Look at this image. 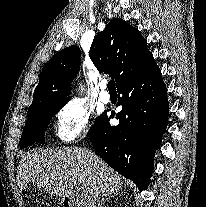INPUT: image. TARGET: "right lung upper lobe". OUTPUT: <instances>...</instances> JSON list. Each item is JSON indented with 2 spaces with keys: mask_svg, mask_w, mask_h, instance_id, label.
<instances>
[{
  "mask_svg": "<svg viewBox=\"0 0 206 207\" xmlns=\"http://www.w3.org/2000/svg\"><path fill=\"white\" fill-rule=\"evenodd\" d=\"M141 33L126 21L113 19L92 42L89 56L99 72L109 73L116 86L136 73L151 57ZM80 66V49L67 47L44 66L28 112L46 105L67 102L70 85Z\"/></svg>",
  "mask_w": 206,
  "mask_h": 207,
  "instance_id": "right-lung-upper-lobe-1",
  "label": "right lung upper lobe"
}]
</instances>
